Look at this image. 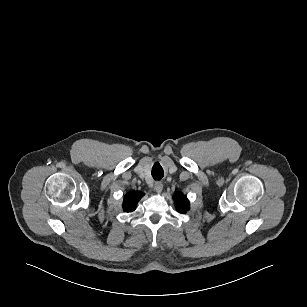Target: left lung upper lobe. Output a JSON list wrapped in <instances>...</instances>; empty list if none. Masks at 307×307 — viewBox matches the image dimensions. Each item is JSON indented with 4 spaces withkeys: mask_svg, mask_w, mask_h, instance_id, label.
I'll list each match as a JSON object with an SVG mask.
<instances>
[{
    "mask_svg": "<svg viewBox=\"0 0 307 307\" xmlns=\"http://www.w3.org/2000/svg\"><path fill=\"white\" fill-rule=\"evenodd\" d=\"M173 198L175 200V207L178 212L186 213L189 210L190 203L185 195L182 193H176Z\"/></svg>",
    "mask_w": 307,
    "mask_h": 307,
    "instance_id": "1",
    "label": "left lung upper lobe"
}]
</instances>
